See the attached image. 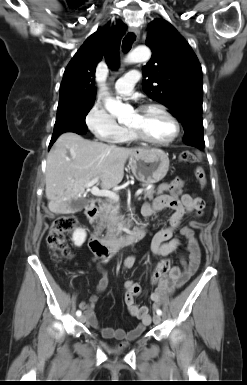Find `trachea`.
Returning a JSON list of instances; mask_svg holds the SVG:
<instances>
[{
    "instance_id": "1",
    "label": "trachea",
    "mask_w": 247,
    "mask_h": 385,
    "mask_svg": "<svg viewBox=\"0 0 247 385\" xmlns=\"http://www.w3.org/2000/svg\"><path fill=\"white\" fill-rule=\"evenodd\" d=\"M134 40H135V35L132 32H129L124 37L123 42H122V49L124 52H128L131 49Z\"/></svg>"
}]
</instances>
